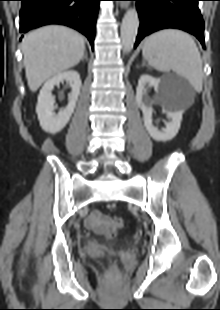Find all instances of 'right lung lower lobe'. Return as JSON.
Here are the masks:
<instances>
[{
	"mask_svg": "<svg viewBox=\"0 0 220 310\" xmlns=\"http://www.w3.org/2000/svg\"><path fill=\"white\" fill-rule=\"evenodd\" d=\"M20 32L62 24L84 34L94 48L95 28L101 0H21Z\"/></svg>",
	"mask_w": 220,
	"mask_h": 310,
	"instance_id": "obj_1",
	"label": "right lung lower lobe"
}]
</instances>
